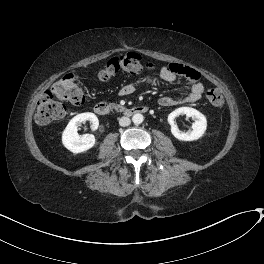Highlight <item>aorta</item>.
Listing matches in <instances>:
<instances>
[{"label": "aorta", "instance_id": "1", "mask_svg": "<svg viewBox=\"0 0 264 264\" xmlns=\"http://www.w3.org/2000/svg\"><path fill=\"white\" fill-rule=\"evenodd\" d=\"M144 116L140 113H136L132 116V121L134 124L139 125L143 122Z\"/></svg>", "mask_w": 264, "mask_h": 264}]
</instances>
